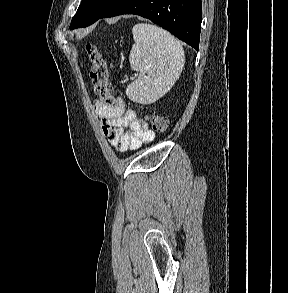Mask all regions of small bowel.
<instances>
[{
  "instance_id": "1",
  "label": "small bowel",
  "mask_w": 288,
  "mask_h": 293,
  "mask_svg": "<svg viewBox=\"0 0 288 293\" xmlns=\"http://www.w3.org/2000/svg\"><path fill=\"white\" fill-rule=\"evenodd\" d=\"M95 113L101 121L105 137L120 152L137 150L155 138L148 124L139 119L135 111L126 109L125 101L119 95L110 105L97 100Z\"/></svg>"
}]
</instances>
